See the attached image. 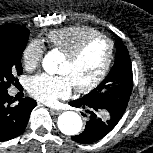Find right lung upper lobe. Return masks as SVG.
<instances>
[{
	"label": "right lung upper lobe",
	"instance_id": "cb5924a9",
	"mask_svg": "<svg viewBox=\"0 0 153 153\" xmlns=\"http://www.w3.org/2000/svg\"><path fill=\"white\" fill-rule=\"evenodd\" d=\"M21 28H25V27H22V26H19V25H14V24H6V25L0 26V31L1 30H18V29H21Z\"/></svg>",
	"mask_w": 153,
	"mask_h": 153
}]
</instances>
